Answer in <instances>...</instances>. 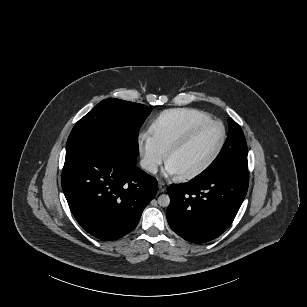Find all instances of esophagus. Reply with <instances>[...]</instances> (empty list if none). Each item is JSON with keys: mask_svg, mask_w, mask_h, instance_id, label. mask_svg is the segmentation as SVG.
I'll return each mask as SVG.
<instances>
[{"mask_svg": "<svg viewBox=\"0 0 307 307\" xmlns=\"http://www.w3.org/2000/svg\"><path fill=\"white\" fill-rule=\"evenodd\" d=\"M158 188H159V191H160L161 193L166 192V189H167V187H166V185H165L164 182H159Z\"/></svg>", "mask_w": 307, "mask_h": 307, "instance_id": "obj_1", "label": "esophagus"}]
</instances>
